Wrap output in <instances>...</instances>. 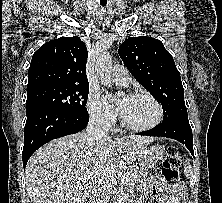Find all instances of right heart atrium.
I'll return each instance as SVG.
<instances>
[{"mask_svg":"<svg viewBox=\"0 0 222 203\" xmlns=\"http://www.w3.org/2000/svg\"><path fill=\"white\" fill-rule=\"evenodd\" d=\"M87 106L93 121L104 128L113 126L116 120V111L97 92H90Z\"/></svg>","mask_w":222,"mask_h":203,"instance_id":"1","label":"right heart atrium"}]
</instances>
